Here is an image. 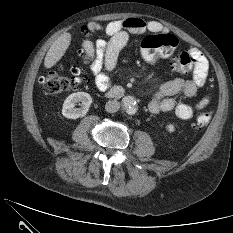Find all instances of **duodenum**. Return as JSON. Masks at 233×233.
<instances>
[{
	"instance_id": "duodenum-1",
	"label": "duodenum",
	"mask_w": 233,
	"mask_h": 233,
	"mask_svg": "<svg viewBox=\"0 0 233 233\" xmlns=\"http://www.w3.org/2000/svg\"><path fill=\"white\" fill-rule=\"evenodd\" d=\"M123 94V90L119 87H114L107 92V96L110 98H115Z\"/></svg>"
}]
</instances>
